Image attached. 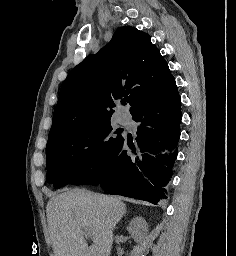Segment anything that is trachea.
Instances as JSON below:
<instances>
[{"mask_svg": "<svg viewBox=\"0 0 236 256\" xmlns=\"http://www.w3.org/2000/svg\"><path fill=\"white\" fill-rule=\"evenodd\" d=\"M126 102H128V100H126V99L121 101L122 105H126Z\"/></svg>", "mask_w": 236, "mask_h": 256, "instance_id": "trachea-1", "label": "trachea"}]
</instances>
